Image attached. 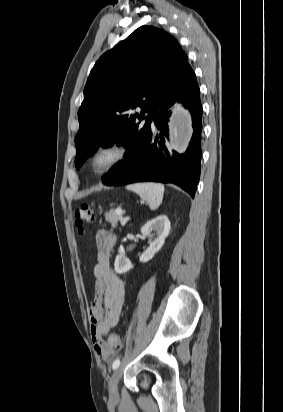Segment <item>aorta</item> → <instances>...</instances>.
Masks as SVG:
<instances>
[{
	"instance_id": "1",
	"label": "aorta",
	"mask_w": 283,
	"mask_h": 412,
	"mask_svg": "<svg viewBox=\"0 0 283 412\" xmlns=\"http://www.w3.org/2000/svg\"><path fill=\"white\" fill-rule=\"evenodd\" d=\"M185 118V115H184V113H180L179 114V119H180V122H179V124H181V125H185L184 126V131L186 132V133H188L189 132V126H188V122H185V124H184V119ZM177 128H175V134L177 135Z\"/></svg>"
}]
</instances>
